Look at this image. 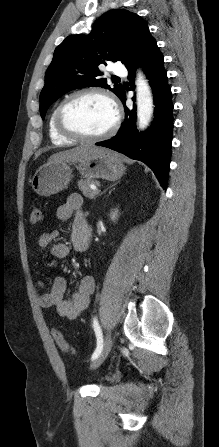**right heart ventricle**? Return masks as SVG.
I'll use <instances>...</instances> for the list:
<instances>
[{
  "instance_id": "1",
  "label": "right heart ventricle",
  "mask_w": 219,
  "mask_h": 447,
  "mask_svg": "<svg viewBox=\"0 0 219 447\" xmlns=\"http://www.w3.org/2000/svg\"><path fill=\"white\" fill-rule=\"evenodd\" d=\"M57 107L58 106H55L49 115L48 136L53 143H57V144L72 143L76 140L63 136L62 134H60L57 131V129L55 127V113H56Z\"/></svg>"
}]
</instances>
